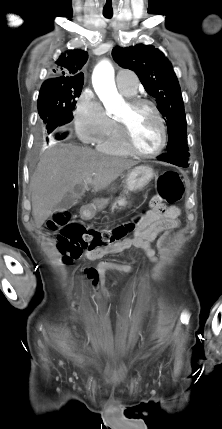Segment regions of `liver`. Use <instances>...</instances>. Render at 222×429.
Returning <instances> with one entry per match:
<instances>
[{"label":"liver","mask_w":222,"mask_h":429,"mask_svg":"<svg viewBox=\"0 0 222 429\" xmlns=\"http://www.w3.org/2000/svg\"><path fill=\"white\" fill-rule=\"evenodd\" d=\"M137 163L72 144L49 147L41 156L30 180L32 214L37 228L52 214L54 207L70 193L81 197L75 187L90 179L94 190L108 188L125 170Z\"/></svg>","instance_id":"liver-1"}]
</instances>
